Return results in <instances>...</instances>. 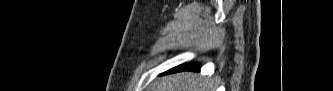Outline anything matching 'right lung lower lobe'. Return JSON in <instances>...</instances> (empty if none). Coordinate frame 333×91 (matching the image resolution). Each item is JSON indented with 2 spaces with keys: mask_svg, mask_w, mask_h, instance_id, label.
<instances>
[{
  "mask_svg": "<svg viewBox=\"0 0 333 91\" xmlns=\"http://www.w3.org/2000/svg\"><path fill=\"white\" fill-rule=\"evenodd\" d=\"M199 69H200L199 64L189 63V64H183V65L174 67V68L170 69L169 71H167L166 73L169 74V73L180 72V71H198Z\"/></svg>",
  "mask_w": 333,
  "mask_h": 91,
  "instance_id": "1",
  "label": "right lung lower lobe"
}]
</instances>
